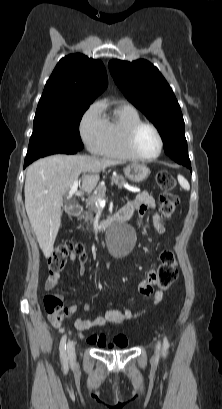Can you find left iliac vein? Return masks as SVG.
Listing matches in <instances>:
<instances>
[{
  "instance_id": "left-iliac-vein-1",
  "label": "left iliac vein",
  "mask_w": 222,
  "mask_h": 409,
  "mask_svg": "<svg viewBox=\"0 0 222 409\" xmlns=\"http://www.w3.org/2000/svg\"><path fill=\"white\" fill-rule=\"evenodd\" d=\"M159 350H160V343L158 342L157 346H156V354L157 355L159 354Z\"/></svg>"
}]
</instances>
